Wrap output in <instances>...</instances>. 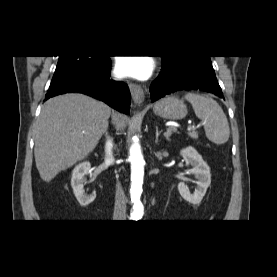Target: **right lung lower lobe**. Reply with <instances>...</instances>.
Segmentation results:
<instances>
[{"mask_svg":"<svg viewBox=\"0 0 277 277\" xmlns=\"http://www.w3.org/2000/svg\"><path fill=\"white\" fill-rule=\"evenodd\" d=\"M110 71L111 60L91 76L78 82L64 84L56 88H49L45 99L47 100L50 97L63 93L78 92L98 98L116 110L129 114L131 97L129 88L122 82L111 80Z\"/></svg>","mask_w":277,"mask_h":277,"instance_id":"1","label":"right lung lower lobe"}]
</instances>
